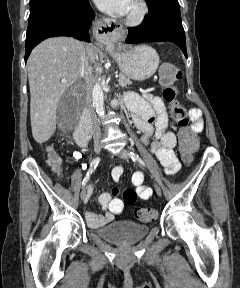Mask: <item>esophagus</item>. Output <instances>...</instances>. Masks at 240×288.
<instances>
[{
	"label": "esophagus",
	"instance_id": "obj_1",
	"mask_svg": "<svg viewBox=\"0 0 240 288\" xmlns=\"http://www.w3.org/2000/svg\"><path fill=\"white\" fill-rule=\"evenodd\" d=\"M119 27L116 21L104 18L96 23V39L104 46H112L114 43L115 31Z\"/></svg>",
	"mask_w": 240,
	"mask_h": 288
}]
</instances>
